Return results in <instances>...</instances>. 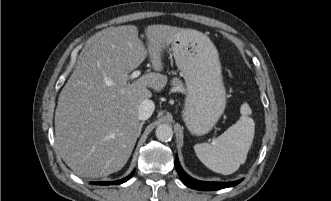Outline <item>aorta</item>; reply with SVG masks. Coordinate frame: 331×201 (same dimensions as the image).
Listing matches in <instances>:
<instances>
[{
  "label": "aorta",
  "instance_id": "762f6f07",
  "mask_svg": "<svg viewBox=\"0 0 331 201\" xmlns=\"http://www.w3.org/2000/svg\"><path fill=\"white\" fill-rule=\"evenodd\" d=\"M156 137L161 142H168L173 137L172 127L168 124H160L156 128Z\"/></svg>",
  "mask_w": 331,
  "mask_h": 201
}]
</instances>
